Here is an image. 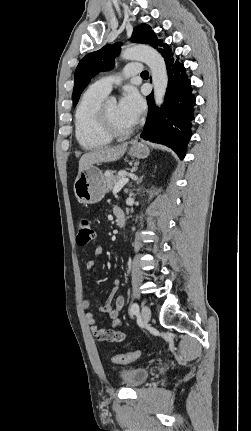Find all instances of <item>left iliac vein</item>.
Listing matches in <instances>:
<instances>
[{"label": "left iliac vein", "instance_id": "1", "mask_svg": "<svg viewBox=\"0 0 251 431\" xmlns=\"http://www.w3.org/2000/svg\"><path fill=\"white\" fill-rule=\"evenodd\" d=\"M141 317L144 325H148L151 319V311L148 306H143L141 311Z\"/></svg>", "mask_w": 251, "mask_h": 431}]
</instances>
